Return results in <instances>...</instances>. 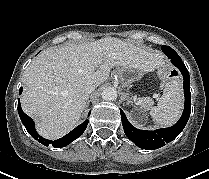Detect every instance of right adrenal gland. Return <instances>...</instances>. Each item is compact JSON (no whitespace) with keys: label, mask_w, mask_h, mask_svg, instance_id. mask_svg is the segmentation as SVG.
I'll use <instances>...</instances> for the list:
<instances>
[{"label":"right adrenal gland","mask_w":209,"mask_h":179,"mask_svg":"<svg viewBox=\"0 0 209 179\" xmlns=\"http://www.w3.org/2000/svg\"><path fill=\"white\" fill-rule=\"evenodd\" d=\"M89 105V101H87V103H86V107Z\"/></svg>","instance_id":"1"}]
</instances>
